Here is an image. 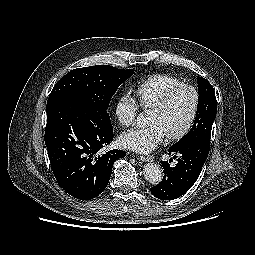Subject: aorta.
Instances as JSON below:
<instances>
[{"label":"aorta","instance_id":"obj_1","mask_svg":"<svg viewBox=\"0 0 255 255\" xmlns=\"http://www.w3.org/2000/svg\"><path fill=\"white\" fill-rule=\"evenodd\" d=\"M137 124L139 127L144 128L147 124V119L143 113H140L137 116ZM145 179L153 184L156 185L161 182L163 178V172L159 165L154 163H148L144 166L143 169Z\"/></svg>","mask_w":255,"mask_h":255}]
</instances>
